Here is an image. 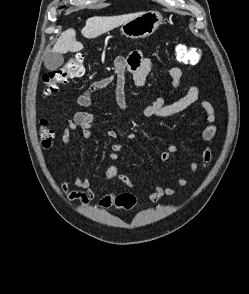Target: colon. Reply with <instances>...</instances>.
I'll list each match as a JSON object with an SVG mask.
<instances>
[{
	"label": "colon",
	"mask_w": 249,
	"mask_h": 294,
	"mask_svg": "<svg viewBox=\"0 0 249 294\" xmlns=\"http://www.w3.org/2000/svg\"><path fill=\"white\" fill-rule=\"evenodd\" d=\"M177 60L186 65H196L203 58V51L199 47H190L186 45H177L175 48ZM117 69H123L125 62L122 59H115ZM85 73L84 57L77 53L69 59L63 66L45 73L42 76V82L45 85L44 94L50 95L55 93L59 86L66 84L70 80L81 78ZM41 126V143L45 148H49L54 139V131L47 127L46 120L40 121ZM135 197L131 194L123 193L117 196L115 205L119 208L129 209L135 204Z\"/></svg>",
	"instance_id": "colon-1"
}]
</instances>
